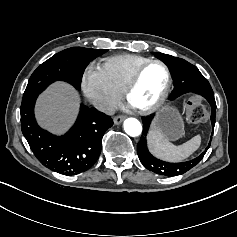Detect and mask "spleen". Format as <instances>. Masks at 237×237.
I'll return each instance as SVG.
<instances>
[{"instance_id":"spleen-1","label":"spleen","mask_w":237,"mask_h":237,"mask_svg":"<svg viewBox=\"0 0 237 237\" xmlns=\"http://www.w3.org/2000/svg\"><path fill=\"white\" fill-rule=\"evenodd\" d=\"M148 140L152 152L169 161L185 159L200 145V136H195L181 145H175L159 129L151 130Z\"/></svg>"}]
</instances>
